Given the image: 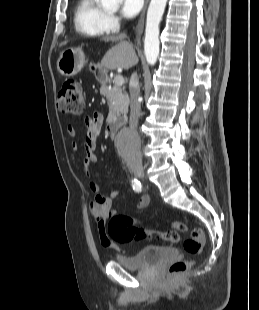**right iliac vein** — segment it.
Returning <instances> with one entry per match:
<instances>
[{
    "instance_id": "right-iliac-vein-1",
    "label": "right iliac vein",
    "mask_w": 259,
    "mask_h": 310,
    "mask_svg": "<svg viewBox=\"0 0 259 310\" xmlns=\"http://www.w3.org/2000/svg\"><path fill=\"white\" fill-rule=\"evenodd\" d=\"M131 169L138 178H141V179L145 178L144 168L141 164H135L131 166Z\"/></svg>"
}]
</instances>
